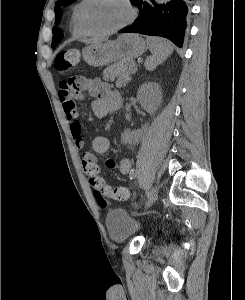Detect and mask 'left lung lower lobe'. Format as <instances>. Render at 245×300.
I'll return each mask as SVG.
<instances>
[{"label":"left lung lower lobe","instance_id":"1","mask_svg":"<svg viewBox=\"0 0 245 300\" xmlns=\"http://www.w3.org/2000/svg\"><path fill=\"white\" fill-rule=\"evenodd\" d=\"M133 4L139 9V16L131 26L119 30L120 33L161 36L182 47L187 26L186 16L190 8L189 0H171L160 5L154 0H134Z\"/></svg>","mask_w":245,"mask_h":300}]
</instances>
